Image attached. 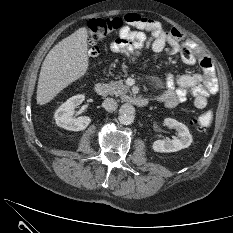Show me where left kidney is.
<instances>
[{
    "instance_id": "left-kidney-1",
    "label": "left kidney",
    "mask_w": 233,
    "mask_h": 233,
    "mask_svg": "<svg viewBox=\"0 0 233 233\" xmlns=\"http://www.w3.org/2000/svg\"><path fill=\"white\" fill-rule=\"evenodd\" d=\"M164 125L172 129H175L179 135V138H174L171 141L156 140L152 144V149L155 152H160V153L176 152L181 149L187 148L191 145L192 135L190 134L187 126H185L183 123L178 122L177 120L172 118H166L164 120Z\"/></svg>"
}]
</instances>
